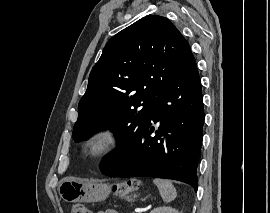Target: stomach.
<instances>
[{
    "mask_svg": "<svg viewBox=\"0 0 270 213\" xmlns=\"http://www.w3.org/2000/svg\"><path fill=\"white\" fill-rule=\"evenodd\" d=\"M111 186L95 181H86L78 178H64L58 187L60 197L65 202H97L107 198ZM136 195H134V198ZM132 199V197H128Z\"/></svg>",
    "mask_w": 270,
    "mask_h": 213,
    "instance_id": "stomach-1",
    "label": "stomach"
}]
</instances>
